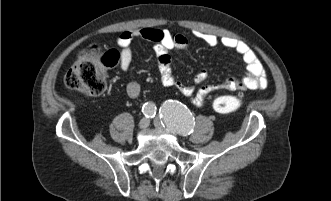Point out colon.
Listing matches in <instances>:
<instances>
[{"mask_svg": "<svg viewBox=\"0 0 331 201\" xmlns=\"http://www.w3.org/2000/svg\"><path fill=\"white\" fill-rule=\"evenodd\" d=\"M119 54L115 50L102 51L94 46L83 52L65 75V85L87 96H100L107 91V69L115 65ZM245 89H240L243 91ZM243 104L239 94L219 96L213 100V109L218 113H231Z\"/></svg>", "mask_w": 331, "mask_h": 201, "instance_id": "5ec220e1", "label": "colon"}]
</instances>
